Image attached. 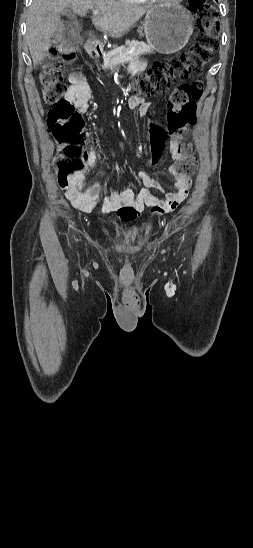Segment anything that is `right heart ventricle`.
Here are the masks:
<instances>
[{"instance_id": "right-heart-ventricle-1", "label": "right heart ventricle", "mask_w": 253, "mask_h": 548, "mask_svg": "<svg viewBox=\"0 0 253 548\" xmlns=\"http://www.w3.org/2000/svg\"><path fill=\"white\" fill-rule=\"evenodd\" d=\"M123 3H127V4H143V3H146L147 1L149 0H119Z\"/></svg>"}]
</instances>
